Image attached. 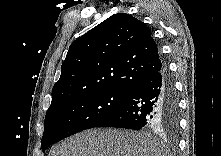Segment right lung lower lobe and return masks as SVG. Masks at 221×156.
<instances>
[{
    "label": "right lung lower lobe",
    "mask_w": 221,
    "mask_h": 156,
    "mask_svg": "<svg viewBox=\"0 0 221 156\" xmlns=\"http://www.w3.org/2000/svg\"><path fill=\"white\" fill-rule=\"evenodd\" d=\"M178 121L177 93L172 77L164 67L138 83L127 101L95 127L166 128L176 132Z\"/></svg>",
    "instance_id": "obj_1"
}]
</instances>
